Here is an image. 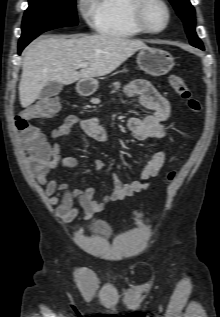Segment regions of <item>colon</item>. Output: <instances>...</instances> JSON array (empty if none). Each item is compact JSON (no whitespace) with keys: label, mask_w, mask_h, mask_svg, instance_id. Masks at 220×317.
I'll return each instance as SVG.
<instances>
[{"label":"colon","mask_w":220,"mask_h":317,"mask_svg":"<svg viewBox=\"0 0 220 317\" xmlns=\"http://www.w3.org/2000/svg\"><path fill=\"white\" fill-rule=\"evenodd\" d=\"M169 83L190 110L200 111L199 102L192 96L189 87L180 76L170 75ZM59 108V99L56 96H50L37 101L15 117V126L21 135L22 145L29 154L31 166L39 168L46 166L50 161L52 152L45 136L33 125L32 121L52 117ZM174 176L175 172L173 171L169 174V180H172ZM135 217L140 222L144 221V216L140 211H135Z\"/></svg>","instance_id":"5ec220e1"}]
</instances>
